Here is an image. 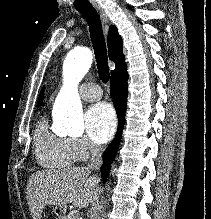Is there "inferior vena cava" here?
Here are the masks:
<instances>
[{"label": "inferior vena cava", "mask_w": 211, "mask_h": 219, "mask_svg": "<svg viewBox=\"0 0 211 219\" xmlns=\"http://www.w3.org/2000/svg\"><path fill=\"white\" fill-rule=\"evenodd\" d=\"M89 149L91 152V161L87 166V170H97L102 164L101 150L94 144H91Z\"/></svg>", "instance_id": "inferior-vena-cava-1"}]
</instances>
